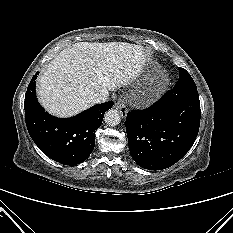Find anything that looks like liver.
<instances>
[{
  "label": "liver",
  "mask_w": 233,
  "mask_h": 233,
  "mask_svg": "<svg viewBox=\"0 0 233 233\" xmlns=\"http://www.w3.org/2000/svg\"><path fill=\"white\" fill-rule=\"evenodd\" d=\"M146 62L143 47L125 42H78L63 49L38 80V98L59 117L91 106L92 97L132 81Z\"/></svg>",
  "instance_id": "1"
}]
</instances>
